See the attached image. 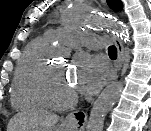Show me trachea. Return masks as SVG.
Masks as SVG:
<instances>
[{"instance_id":"trachea-1","label":"trachea","mask_w":151,"mask_h":131,"mask_svg":"<svg viewBox=\"0 0 151 131\" xmlns=\"http://www.w3.org/2000/svg\"><path fill=\"white\" fill-rule=\"evenodd\" d=\"M108 54L110 57H117V48L115 46H109L108 47Z\"/></svg>"}]
</instances>
